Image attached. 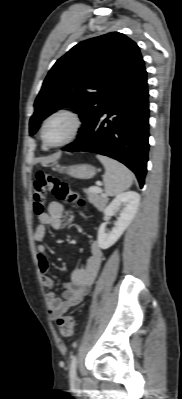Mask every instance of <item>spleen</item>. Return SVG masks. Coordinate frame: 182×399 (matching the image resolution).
<instances>
[{
	"instance_id": "spleen-1",
	"label": "spleen",
	"mask_w": 182,
	"mask_h": 399,
	"mask_svg": "<svg viewBox=\"0 0 182 399\" xmlns=\"http://www.w3.org/2000/svg\"><path fill=\"white\" fill-rule=\"evenodd\" d=\"M97 158L105 167L103 181L107 195H118L132 185L133 174L125 165L106 156L97 155Z\"/></svg>"
}]
</instances>
